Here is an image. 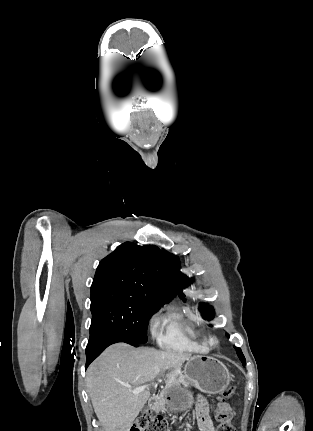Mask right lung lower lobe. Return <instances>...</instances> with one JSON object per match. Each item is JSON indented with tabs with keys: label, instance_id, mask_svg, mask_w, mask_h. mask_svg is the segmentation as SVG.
Instances as JSON below:
<instances>
[{
	"label": "right lung lower lobe",
	"instance_id": "1",
	"mask_svg": "<svg viewBox=\"0 0 313 431\" xmlns=\"http://www.w3.org/2000/svg\"><path fill=\"white\" fill-rule=\"evenodd\" d=\"M118 342H125L132 346H139L140 343H137L125 336L113 333H102L98 336L89 339L88 345L86 347V367L97 358L108 346Z\"/></svg>",
	"mask_w": 313,
	"mask_h": 431
}]
</instances>
